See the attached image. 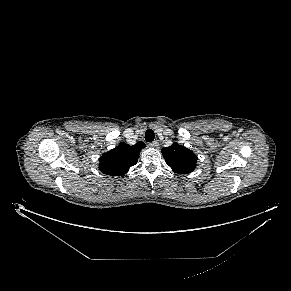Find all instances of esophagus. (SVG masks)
Instances as JSON below:
<instances>
[{
    "instance_id": "esophagus-1",
    "label": "esophagus",
    "mask_w": 291,
    "mask_h": 291,
    "mask_svg": "<svg viewBox=\"0 0 291 291\" xmlns=\"http://www.w3.org/2000/svg\"><path fill=\"white\" fill-rule=\"evenodd\" d=\"M149 145L151 147H158L159 146V142L157 140H155V141L151 142Z\"/></svg>"
}]
</instances>
